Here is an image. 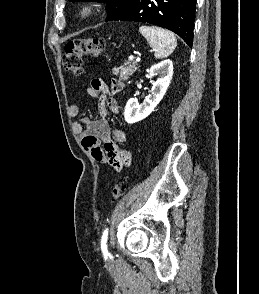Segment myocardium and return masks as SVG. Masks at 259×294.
I'll return each instance as SVG.
<instances>
[{
  "label": "myocardium",
  "mask_w": 259,
  "mask_h": 294,
  "mask_svg": "<svg viewBox=\"0 0 259 294\" xmlns=\"http://www.w3.org/2000/svg\"><path fill=\"white\" fill-rule=\"evenodd\" d=\"M95 13V7L93 5H86L81 8L79 12L80 20H87L93 16Z\"/></svg>",
  "instance_id": "myocardium-1"
}]
</instances>
